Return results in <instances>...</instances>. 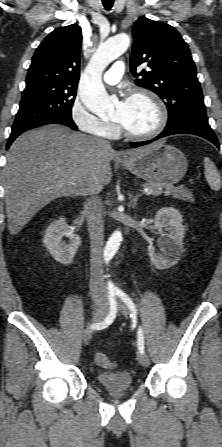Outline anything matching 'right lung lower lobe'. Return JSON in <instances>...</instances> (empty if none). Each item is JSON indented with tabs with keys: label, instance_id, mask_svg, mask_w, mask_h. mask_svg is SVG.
<instances>
[{
	"label": "right lung lower lobe",
	"instance_id": "98d812e1",
	"mask_svg": "<svg viewBox=\"0 0 222 447\" xmlns=\"http://www.w3.org/2000/svg\"><path fill=\"white\" fill-rule=\"evenodd\" d=\"M47 124H62L65 126H68L72 129H76L77 126L75 125V123L73 122L72 118H68V117H55V118H51L45 121L40 122L39 124H35L29 127H25L19 130H15L12 131L10 137L8 138V142H7V146L6 148L8 149L10 147V145L12 144V142L23 132L33 129V128H37L43 125H47Z\"/></svg>",
	"mask_w": 222,
	"mask_h": 447
}]
</instances>
